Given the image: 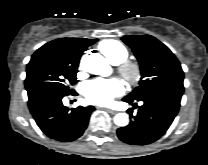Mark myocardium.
I'll return each instance as SVG.
<instances>
[{
  "label": "myocardium",
  "mask_w": 208,
  "mask_h": 165,
  "mask_svg": "<svg viewBox=\"0 0 208 165\" xmlns=\"http://www.w3.org/2000/svg\"><path fill=\"white\" fill-rule=\"evenodd\" d=\"M119 73L130 85H135L141 77L140 66L133 61L122 62L119 67Z\"/></svg>",
  "instance_id": "1"
}]
</instances>
